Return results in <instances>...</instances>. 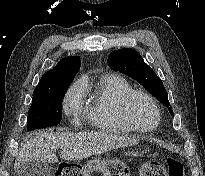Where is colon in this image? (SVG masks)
I'll return each mask as SVG.
<instances>
[{"instance_id":"colon-1","label":"colon","mask_w":205,"mask_h":176,"mask_svg":"<svg viewBox=\"0 0 205 176\" xmlns=\"http://www.w3.org/2000/svg\"><path fill=\"white\" fill-rule=\"evenodd\" d=\"M87 167L100 171L105 176H127L129 174L128 166L123 160L99 158L87 165L61 161L57 165L55 176H86ZM137 173L138 176H184V169L179 160L169 158L166 169L157 162H146L137 167Z\"/></svg>"}]
</instances>
